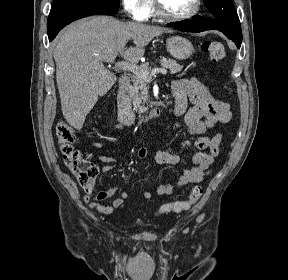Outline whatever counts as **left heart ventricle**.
<instances>
[{
    "instance_id": "obj_1",
    "label": "left heart ventricle",
    "mask_w": 288,
    "mask_h": 280,
    "mask_svg": "<svg viewBox=\"0 0 288 280\" xmlns=\"http://www.w3.org/2000/svg\"><path fill=\"white\" fill-rule=\"evenodd\" d=\"M163 9L170 15H183L193 9L195 0H160Z\"/></svg>"
}]
</instances>
